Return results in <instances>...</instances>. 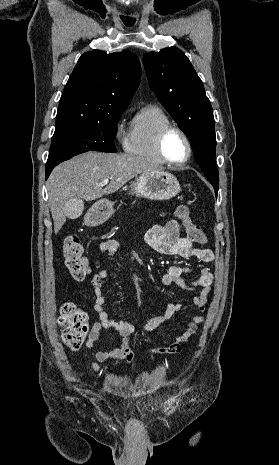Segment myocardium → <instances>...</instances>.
I'll return each instance as SVG.
<instances>
[{"label":"myocardium","mask_w":279,"mask_h":465,"mask_svg":"<svg viewBox=\"0 0 279 465\" xmlns=\"http://www.w3.org/2000/svg\"><path fill=\"white\" fill-rule=\"evenodd\" d=\"M172 131H176V132L180 133V135L183 137V139L185 140V143L187 145V155L182 161H179V162H174V161L170 160L166 156L165 151H164L165 139H166L167 135ZM156 148H157L158 154L160 155L162 160L165 163H167V164H169L171 166H183V165H185L186 163H188V161L190 160V158L192 156V153H193L192 143H191V140H190L188 134L181 127H179L177 125H173V124H170V125L164 127L159 132V134L157 136V140H156Z\"/></svg>","instance_id":"1"}]
</instances>
